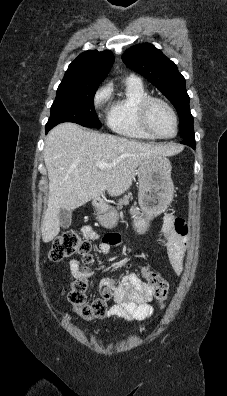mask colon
Listing matches in <instances>:
<instances>
[{
	"instance_id": "1",
	"label": "colon",
	"mask_w": 227,
	"mask_h": 396,
	"mask_svg": "<svg viewBox=\"0 0 227 396\" xmlns=\"http://www.w3.org/2000/svg\"><path fill=\"white\" fill-rule=\"evenodd\" d=\"M71 256H80L85 266L92 262L91 244L88 240L80 237L75 232L65 233L58 237L52 244L49 257L53 261H61ZM143 277L154 289V297L160 305H163L168 297L169 284L157 272L144 268ZM88 279L85 277L76 278L72 283L69 293V301L73 305L75 312L85 320L101 318L107 314L110 300L113 293L106 289L101 295L87 303Z\"/></svg>"
}]
</instances>
